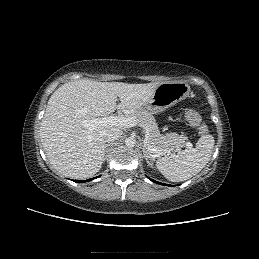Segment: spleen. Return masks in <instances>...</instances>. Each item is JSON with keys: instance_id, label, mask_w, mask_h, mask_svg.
Masks as SVG:
<instances>
[{"instance_id": "obj_1", "label": "spleen", "mask_w": 259, "mask_h": 259, "mask_svg": "<svg viewBox=\"0 0 259 259\" xmlns=\"http://www.w3.org/2000/svg\"><path fill=\"white\" fill-rule=\"evenodd\" d=\"M214 144L215 140L212 135H203L196 143L195 148L179 151L173 157L159 159L156 166L169 181H185L206 166L211 158Z\"/></svg>"}]
</instances>
